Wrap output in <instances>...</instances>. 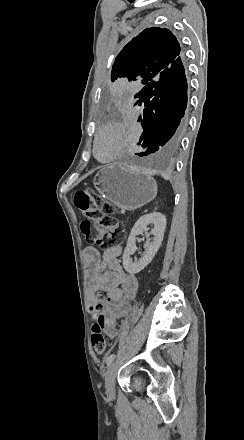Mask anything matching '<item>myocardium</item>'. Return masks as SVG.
I'll return each instance as SVG.
<instances>
[{"label": "myocardium", "mask_w": 244, "mask_h": 440, "mask_svg": "<svg viewBox=\"0 0 244 440\" xmlns=\"http://www.w3.org/2000/svg\"><path fill=\"white\" fill-rule=\"evenodd\" d=\"M108 132L111 136V143L109 147V154L105 158H101L98 153V139L99 136L104 133ZM118 142H119V134L115 127L113 126H104L97 130L93 137V155L95 159L102 164H108L113 162L118 157Z\"/></svg>", "instance_id": "myocardium-1"}]
</instances>
